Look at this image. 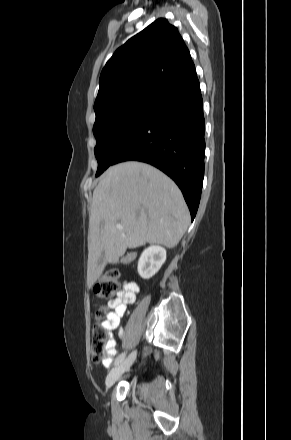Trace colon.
I'll return each instance as SVG.
<instances>
[{
	"label": "colon",
	"mask_w": 291,
	"mask_h": 440,
	"mask_svg": "<svg viewBox=\"0 0 291 440\" xmlns=\"http://www.w3.org/2000/svg\"><path fill=\"white\" fill-rule=\"evenodd\" d=\"M122 290L119 269L117 267H111L104 272L93 291L97 297L107 298L121 293ZM98 316L102 317L103 314L100 313ZM107 342L106 329L100 324H96L92 329L90 344L91 356L95 362H103L109 358Z\"/></svg>",
	"instance_id": "1"
}]
</instances>
